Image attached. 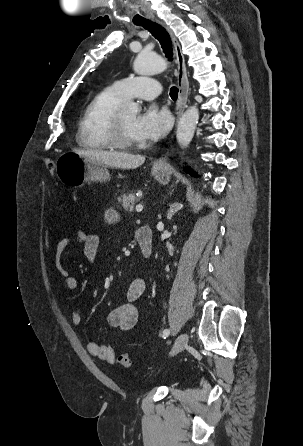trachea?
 I'll return each instance as SVG.
<instances>
[{
	"mask_svg": "<svg viewBox=\"0 0 303 446\" xmlns=\"http://www.w3.org/2000/svg\"><path fill=\"white\" fill-rule=\"evenodd\" d=\"M148 30L161 44L163 52L169 61L172 60V43L168 32L159 24L151 21H145L138 24ZM170 97L175 101L178 97V88L173 86L170 89Z\"/></svg>",
	"mask_w": 303,
	"mask_h": 446,
	"instance_id": "obj_1",
	"label": "trachea"
}]
</instances>
